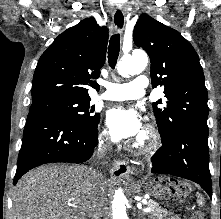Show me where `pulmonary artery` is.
<instances>
[{
	"label": "pulmonary artery",
	"mask_w": 221,
	"mask_h": 219,
	"mask_svg": "<svg viewBox=\"0 0 221 219\" xmlns=\"http://www.w3.org/2000/svg\"><path fill=\"white\" fill-rule=\"evenodd\" d=\"M147 84V78L143 75L134 77L132 82L126 84L103 83L106 92L98 98L112 101L138 99L145 95Z\"/></svg>",
	"instance_id": "1"
}]
</instances>
